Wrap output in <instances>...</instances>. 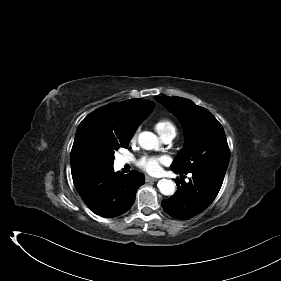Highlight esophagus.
<instances>
[{"label":"esophagus","instance_id":"esophagus-1","mask_svg":"<svg viewBox=\"0 0 281 281\" xmlns=\"http://www.w3.org/2000/svg\"><path fill=\"white\" fill-rule=\"evenodd\" d=\"M158 179L150 177V176H146V182H154L157 181Z\"/></svg>","mask_w":281,"mask_h":281}]
</instances>
